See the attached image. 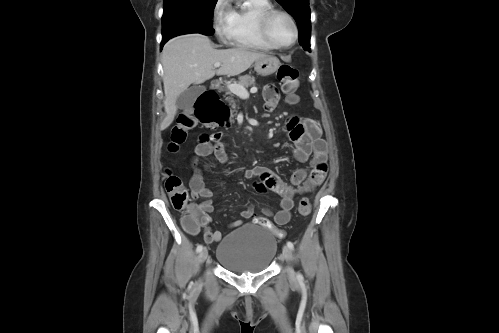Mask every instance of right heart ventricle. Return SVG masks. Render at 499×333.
<instances>
[{
  "label": "right heart ventricle",
  "instance_id": "right-heart-ventricle-1",
  "mask_svg": "<svg viewBox=\"0 0 499 333\" xmlns=\"http://www.w3.org/2000/svg\"><path fill=\"white\" fill-rule=\"evenodd\" d=\"M271 7L270 0H248L247 6L232 8L231 44L243 49L273 50L274 48L261 35L258 25L261 13Z\"/></svg>",
  "mask_w": 499,
  "mask_h": 333
}]
</instances>
